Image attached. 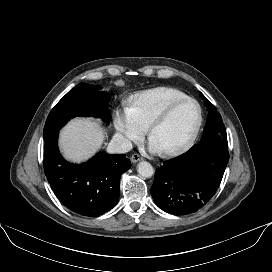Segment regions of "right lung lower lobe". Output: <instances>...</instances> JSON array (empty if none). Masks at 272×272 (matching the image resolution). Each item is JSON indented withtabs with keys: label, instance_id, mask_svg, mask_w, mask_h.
Masks as SVG:
<instances>
[{
	"label": "right lung lower lobe",
	"instance_id": "right-lung-lower-lobe-1",
	"mask_svg": "<svg viewBox=\"0 0 272 272\" xmlns=\"http://www.w3.org/2000/svg\"><path fill=\"white\" fill-rule=\"evenodd\" d=\"M58 134L44 145V171L55 195L71 211L95 217L118 202L120 176L131 167L126 155L98 153L87 163L71 164L57 147Z\"/></svg>",
	"mask_w": 272,
	"mask_h": 272
}]
</instances>
